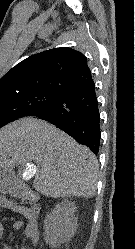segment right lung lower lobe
Listing matches in <instances>:
<instances>
[{"label": "right lung lower lobe", "instance_id": "obj_1", "mask_svg": "<svg viewBox=\"0 0 135 249\" xmlns=\"http://www.w3.org/2000/svg\"><path fill=\"white\" fill-rule=\"evenodd\" d=\"M95 89V83L92 81L62 92L55 100L37 108L29 116L56 125L97 155L101 131Z\"/></svg>", "mask_w": 135, "mask_h": 249}]
</instances>
